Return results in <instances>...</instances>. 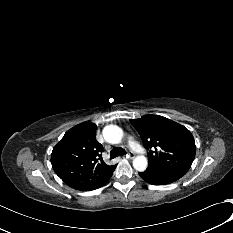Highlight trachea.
<instances>
[{
    "label": "trachea",
    "instance_id": "3493384b",
    "mask_svg": "<svg viewBox=\"0 0 233 233\" xmlns=\"http://www.w3.org/2000/svg\"><path fill=\"white\" fill-rule=\"evenodd\" d=\"M126 154V151L121 148V147H114L111 151H110V159H114L118 156H123Z\"/></svg>",
    "mask_w": 233,
    "mask_h": 233
}]
</instances>
